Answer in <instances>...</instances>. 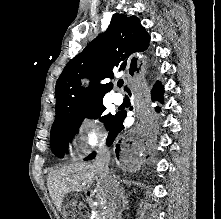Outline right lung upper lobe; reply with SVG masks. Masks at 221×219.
Here are the masks:
<instances>
[{"mask_svg":"<svg viewBox=\"0 0 221 219\" xmlns=\"http://www.w3.org/2000/svg\"><path fill=\"white\" fill-rule=\"evenodd\" d=\"M150 36L136 16L115 13L108 29L90 42L64 68L56 83V118L93 102L102 101L113 85H99L98 81L112 79L114 70H141L137 53L147 49ZM88 78L87 89L80 79Z\"/></svg>","mask_w":221,"mask_h":219,"instance_id":"obj_1","label":"right lung upper lobe"}]
</instances>
